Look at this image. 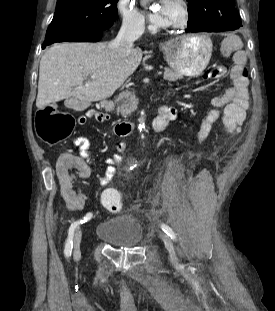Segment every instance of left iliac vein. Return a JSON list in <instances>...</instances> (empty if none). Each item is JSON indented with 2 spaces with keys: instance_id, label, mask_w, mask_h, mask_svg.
I'll list each match as a JSON object with an SVG mask.
<instances>
[{
  "instance_id": "4c4485c4",
  "label": "left iliac vein",
  "mask_w": 275,
  "mask_h": 311,
  "mask_svg": "<svg viewBox=\"0 0 275 311\" xmlns=\"http://www.w3.org/2000/svg\"><path fill=\"white\" fill-rule=\"evenodd\" d=\"M160 237L163 240L164 245L169 252L171 261L175 265H179L177 257H176V253H175V248H174V245H173L171 238L165 233H160Z\"/></svg>"
}]
</instances>
